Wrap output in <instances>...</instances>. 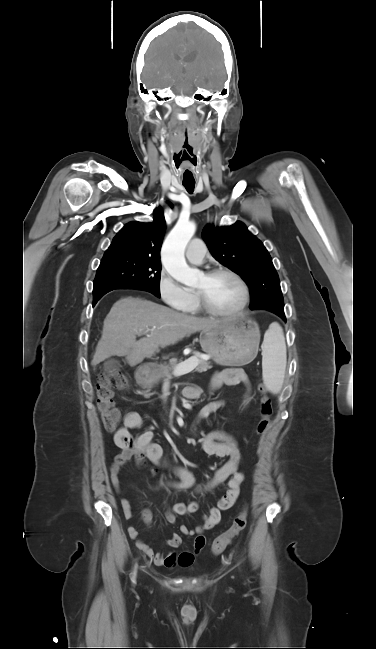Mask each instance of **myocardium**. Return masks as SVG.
Instances as JSON below:
<instances>
[{
    "instance_id": "f54148a6",
    "label": "myocardium",
    "mask_w": 376,
    "mask_h": 649,
    "mask_svg": "<svg viewBox=\"0 0 376 649\" xmlns=\"http://www.w3.org/2000/svg\"><path fill=\"white\" fill-rule=\"evenodd\" d=\"M218 274H228L238 282V284L240 285L241 290H242V300H241L240 304L235 309L230 310V311L218 310V309H216V308H214V307H212L210 305V303L208 302V300H207V298H206V296H205V294H204V292L202 290H197L196 289L194 291V293H195L196 299L198 301V304H199V306L201 307V309L203 311H205L206 313L211 314L213 316L236 317V316L240 315L248 305L249 297H250L249 287H248L246 281L242 278V276L240 274H238L236 271H234V270H232L230 268H227V267H215V268H212V269L206 271L204 273V276L207 277V278H211V277H213L215 275H218Z\"/></svg>"
}]
</instances>
